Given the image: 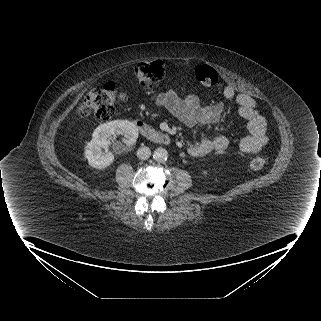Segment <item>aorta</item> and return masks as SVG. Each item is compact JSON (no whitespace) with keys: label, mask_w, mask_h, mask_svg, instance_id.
Here are the masks:
<instances>
[{"label":"aorta","mask_w":321,"mask_h":321,"mask_svg":"<svg viewBox=\"0 0 321 321\" xmlns=\"http://www.w3.org/2000/svg\"><path fill=\"white\" fill-rule=\"evenodd\" d=\"M153 158L158 162H164L168 158V152L165 148L159 147L154 151Z\"/></svg>","instance_id":"aorta-1"}]
</instances>
